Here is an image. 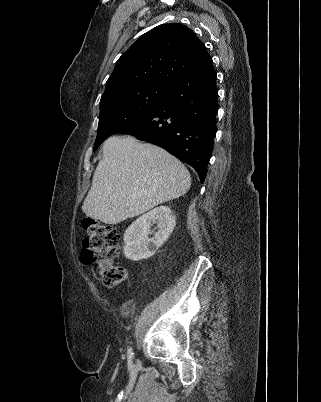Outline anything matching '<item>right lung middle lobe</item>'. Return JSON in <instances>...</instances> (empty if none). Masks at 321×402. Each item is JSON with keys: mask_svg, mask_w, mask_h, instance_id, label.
<instances>
[{"mask_svg": "<svg viewBox=\"0 0 321 402\" xmlns=\"http://www.w3.org/2000/svg\"><path fill=\"white\" fill-rule=\"evenodd\" d=\"M168 86L150 84L115 92L100 101V118L94 151L109 136L158 107Z\"/></svg>", "mask_w": 321, "mask_h": 402, "instance_id": "1", "label": "right lung middle lobe"}]
</instances>
